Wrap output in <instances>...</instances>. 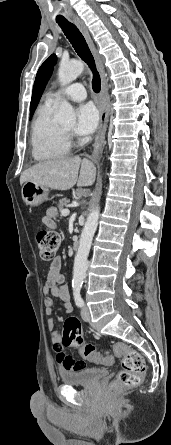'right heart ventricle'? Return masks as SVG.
Masks as SVG:
<instances>
[{
    "instance_id": "1",
    "label": "right heart ventricle",
    "mask_w": 171,
    "mask_h": 445,
    "mask_svg": "<svg viewBox=\"0 0 171 445\" xmlns=\"http://www.w3.org/2000/svg\"><path fill=\"white\" fill-rule=\"evenodd\" d=\"M54 104L45 103L36 114L31 128L32 154L36 160L60 158L69 151L70 144L53 117Z\"/></svg>"
}]
</instances>
